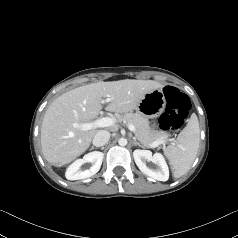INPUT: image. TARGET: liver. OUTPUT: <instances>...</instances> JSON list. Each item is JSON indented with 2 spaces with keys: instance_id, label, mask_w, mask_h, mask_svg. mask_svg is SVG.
Returning a JSON list of instances; mask_svg holds the SVG:
<instances>
[{
  "instance_id": "6515ba94",
  "label": "liver",
  "mask_w": 238,
  "mask_h": 238,
  "mask_svg": "<svg viewBox=\"0 0 238 238\" xmlns=\"http://www.w3.org/2000/svg\"><path fill=\"white\" fill-rule=\"evenodd\" d=\"M162 87L152 80L125 79L92 83L62 94L48 107L42 121L44 158L51 165L61 167L89 148L98 130L83 131L80 125L98 117L102 98L109 99L107 111L127 113L137 109L146 93Z\"/></svg>"
}]
</instances>
